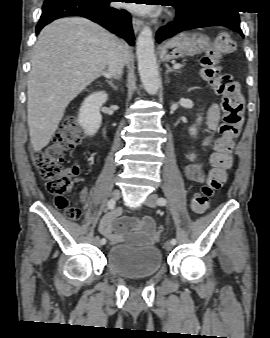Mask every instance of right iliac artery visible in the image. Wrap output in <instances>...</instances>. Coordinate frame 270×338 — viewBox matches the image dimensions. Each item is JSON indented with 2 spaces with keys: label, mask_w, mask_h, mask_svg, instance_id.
<instances>
[{
  "label": "right iliac artery",
  "mask_w": 270,
  "mask_h": 338,
  "mask_svg": "<svg viewBox=\"0 0 270 338\" xmlns=\"http://www.w3.org/2000/svg\"><path fill=\"white\" fill-rule=\"evenodd\" d=\"M115 204H116V200L110 199L107 203L108 209H113L115 207ZM100 243H101V245H104L106 243V239L102 238L100 240Z\"/></svg>",
  "instance_id": "82829eb1"
}]
</instances>
